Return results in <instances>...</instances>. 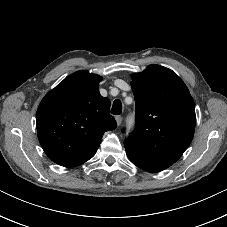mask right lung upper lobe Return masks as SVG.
Returning <instances> with one entry per match:
<instances>
[{
    "label": "right lung upper lobe",
    "mask_w": 227,
    "mask_h": 227,
    "mask_svg": "<svg viewBox=\"0 0 227 227\" xmlns=\"http://www.w3.org/2000/svg\"><path fill=\"white\" fill-rule=\"evenodd\" d=\"M102 78L87 71L66 77L42 99L36 114L39 142L58 165L75 167L91 159L106 131L117 123L110 100L99 93Z\"/></svg>",
    "instance_id": "cb5924a9"
}]
</instances>
